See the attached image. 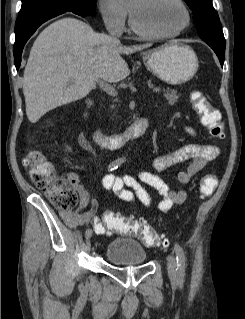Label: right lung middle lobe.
Here are the masks:
<instances>
[{"mask_svg": "<svg viewBox=\"0 0 245 319\" xmlns=\"http://www.w3.org/2000/svg\"><path fill=\"white\" fill-rule=\"evenodd\" d=\"M96 0H22L18 18L54 8L73 9L87 16L95 11Z\"/></svg>", "mask_w": 245, "mask_h": 319, "instance_id": "1", "label": "right lung middle lobe"}]
</instances>
